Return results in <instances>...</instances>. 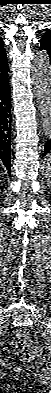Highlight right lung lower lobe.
Instances as JSON below:
<instances>
[{"mask_svg": "<svg viewBox=\"0 0 51 393\" xmlns=\"http://www.w3.org/2000/svg\"><path fill=\"white\" fill-rule=\"evenodd\" d=\"M8 71L0 73V160L10 174L11 95Z\"/></svg>", "mask_w": 51, "mask_h": 393, "instance_id": "1", "label": "right lung lower lobe"}]
</instances>
